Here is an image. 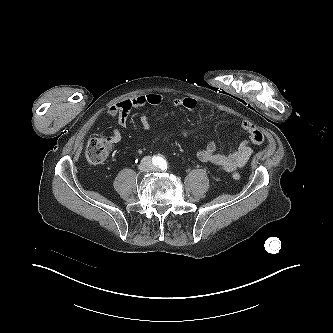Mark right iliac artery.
<instances>
[{"instance_id": "obj_1", "label": "right iliac artery", "mask_w": 333, "mask_h": 333, "mask_svg": "<svg viewBox=\"0 0 333 333\" xmlns=\"http://www.w3.org/2000/svg\"><path fill=\"white\" fill-rule=\"evenodd\" d=\"M161 161H162V158L160 156H153V158H152V162L156 166L160 165Z\"/></svg>"}]
</instances>
